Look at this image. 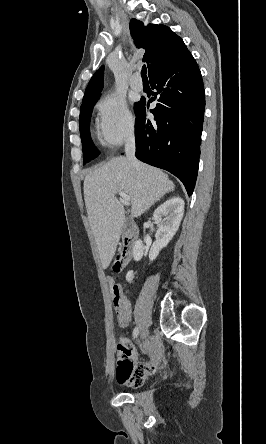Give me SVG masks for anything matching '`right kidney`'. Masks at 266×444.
<instances>
[{
  "label": "right kidney",
  "mask_w": 266,
  "mask_h": 444,
  "mask_svg": "<svg viewBox=\"0 0 266 444\" xmlns=\"http://www.w3.org/2000/svg\"><path fill=\"white\" fill-rule=\"evenodd\" d=\"M184 201L180 197H173L160 205L153 213L154 219L159 222V228L155 234L156 241L149 251V259L153 261L160 250L167 246L177 232L184 214ZM144 244L141 240L135 243L133 258L139 261L144 253ZM134 278L133 271L126 274V280L131 282Z\"/></svg>",
  "instance_id": "right-kidney-1"
}]
</instances>
